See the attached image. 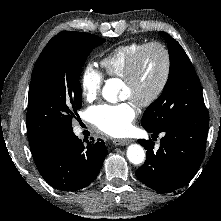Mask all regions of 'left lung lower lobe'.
Returning a JSON list of instances; mask_svg holds the SVG:
<instances>
[{"label": "left lung lower lobe", "mask_w": 221, "mask_h": 221, "mask_svg": "<svg viewBox=\"0 0 221 221\" xmlns=\"http://www.w3.org/2000/svg\"><path fill=\"white\" fill-rule=\"evenodd\" d=\"M208 122L209 115L204 120L176 121L160 132H152V135L165 133L156 152L151 140H139L147 150V157L144 165L137 169V178L162 193L172 192L189 183L204 157Z\"/></svg>", "instance_id": "0a47b994"}]
</instances>
